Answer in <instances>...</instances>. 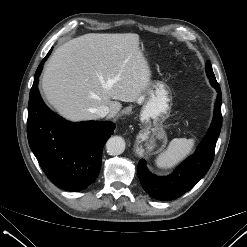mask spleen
<instances>
[{"mask_svg": "<svg viewBox=\"0 0 247 247\" xmlns=\"http://www.w3.org/2000/svg\"><path fill=\"white\" fill-rule=\"evenodd\" d=\"M194 139L176 138L173 139L167 150L161 153L156 159V165L160 168L167 169L175 166L187 155L194 147Z\"/></svg>", "mask_w": 247, "mask_h": 247, "instance_id": "spleen-1", "label": "spleen"}]
</instances>
